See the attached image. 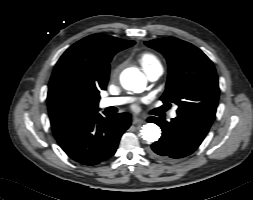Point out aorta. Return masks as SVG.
I'll return each instance as SVG.
<instances>
[{"mask_svg": "<svg viewBox=\"0 0 253 200\" xmlns=\"http://www.w3.org/2000/svg\"><path fill=\"white\" fill-rule=\"evenodd\" d=\"M146 77L135 69L126 71L121 77L122 86L127 90L142 92L146 87ZM142 138L151 143L157 141L161 136V129L154 123H147L141 129Z\"/></svg>", "mask_w": 253, "mask_h": 200, "instance_id": "762f6f07", "label": "aorta"}]
</instances>
